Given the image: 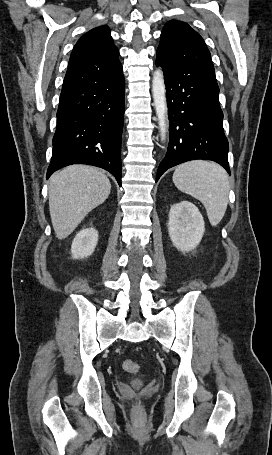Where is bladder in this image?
I'll return each mask as SVG.
<instances>
[{
  "label": "bladder",
  "instance_id": "31cf9c89",
  "mask_svg": "<svg viewBox=\"0 0 272 455\" xmlns=\"http://www.w3.org/2000/svg\"><path fill=\"white\" fill-rule=\"evenodd\" d=\"M134 385L135 386H142L143 385V381L141 379H137V380H135Z\"/></svg>",
  "mask_w": 272,
  "mask_h": 455
}]
</instances>
